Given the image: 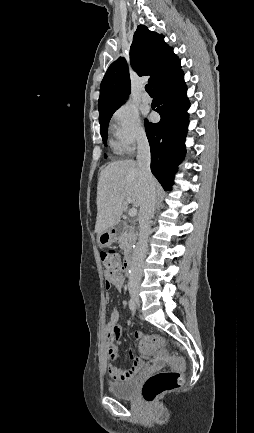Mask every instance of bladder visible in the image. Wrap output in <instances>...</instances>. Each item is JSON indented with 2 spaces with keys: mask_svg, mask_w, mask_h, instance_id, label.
Instances as JSON below:
<instances>
[{
  "mask_svg": "<svg viewBox=\"0 0 254 433\" xmlns=\"http://www.w3.org/2000/svg\"><path fill=\"white\" fill-rule=\"evenodd\" d=\"M138 379L131 378L121 382H111L108 384L109 392L117 398L132 399L136 394Z\"/></svg>",
  "mask_w": 254,
  "mask_h": 433,
  "instance_id": "31cf9c89",
  "label": "bladder"
}]
</instances>
